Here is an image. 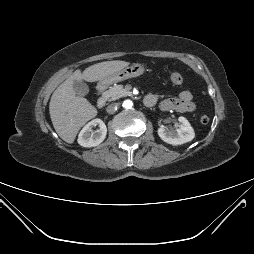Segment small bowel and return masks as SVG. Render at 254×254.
<instances>
[{"label": "small bowel", "instance_id": "c3829d8e", "mask_svg": "<svg viewBox=\"0 0 254 254\" xmlns=\"http://www.w3.org/2000/svg\"><path fill=\"white\" fill-rule=\"evenodd\" d=\"M153 101L155 105L158 101L156 94H150L147 96ZM160 108L163 111H177V112H193L196 105L193 101V96L190 91L182 90L179 92L176 98H167L160 103Z\"/></svg>", "mask_w": 254, "mask_h": 254}]
</instances>
